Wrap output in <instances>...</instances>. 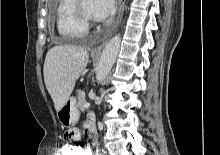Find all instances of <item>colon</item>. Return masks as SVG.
Segmentation results:
<instances>
[{
  "mask_svg": "<svg viewBox=\"0 0 220 155\" xmlns=\"http://www.w3.org/2000/svg\"><path fill=\"white\" fill-rule=\"evenodd\" d=\"M61 155H82L81 147L79 146H61Z\"/></svg>",
  "mask_w": 220,
  "mask_h": 155,
  "instance_id": "5ec220e1",
  "label": "colon"
}]
</instances>
